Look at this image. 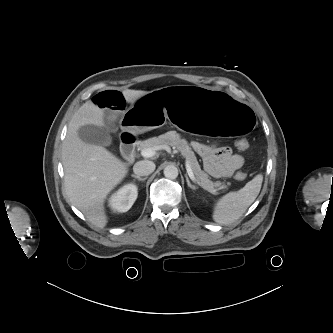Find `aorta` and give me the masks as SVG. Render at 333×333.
<instances>
[{
	"mask_svg": "<svg viewBox=\"0 0 333 333\" xmlns=\"http://www.w3.org/2000/svg\"><path fill=\"white\" fill-rule=\"evenodd\" d=\"M164 176L168 179H176L178 177V169L174 165H168L164 168Z\"/></svg>",
	"mask_w": 333,
	"mask_h": 333,
	"instance_id": "aorta-1",
	"label": "aorta"
}]
</instances>
